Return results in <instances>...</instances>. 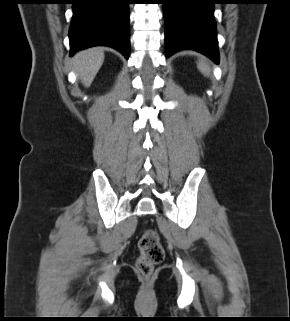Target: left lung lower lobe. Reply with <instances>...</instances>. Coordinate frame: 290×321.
<instances>
[{"mask_svg":"<svg viewBox=\"0 0 290 321\" xmlns=\"http://www.w3.org/2000/svg\"><path fill=\"white\" fill-rule=\"evenodd\" d=\"M166 57L196 50L219 63L213 15L217 0H164Z\"/></svg>","mask_w":290,"mask_h":321,"instance_id":"0a47b994","label":"left lung lower lobe"}]
</instances>
